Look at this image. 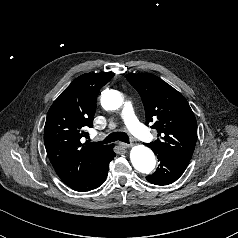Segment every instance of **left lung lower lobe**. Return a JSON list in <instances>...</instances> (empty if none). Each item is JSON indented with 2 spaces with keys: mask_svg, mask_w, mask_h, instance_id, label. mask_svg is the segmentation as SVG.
I'll return each mask as SVG.
<instances>
[{
  "mask_svg": "<svg viewBox=\"0 0 238 238\" xmlns=\"http://www.w3.org/2000/svg\"><path fill=\"white\" fill-rule=\"evenodd\" d=\"M160 162L157 170L146 177L147 181L155 185H168L176 181L185 171L190 160L168 155L166 153H155Z\"/></svg>",
  "mask_w": 238,
  "mask_h": 238,
  "instance_id": "1",
  "label": "left lung lower lobe"
}]
</instances>
